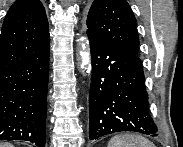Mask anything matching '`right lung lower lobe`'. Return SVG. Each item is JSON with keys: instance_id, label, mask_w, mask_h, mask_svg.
Listing matches in <instances>:
<instances>
[{"instance_id": "98d812e1", "label": "right lung lower lobe", "mask_w": 183, "mask_h": 147, "mask_svg": "<svg viewBox=\"0 0 183 147\" xmlns=\"http://www.w3.org/2000/svg\"><path fill=\"white\" fill-rule=\"evenodd\" d=\"M49 50L0 70V140L45 147Z\"/></svg>"}]
</instances>
